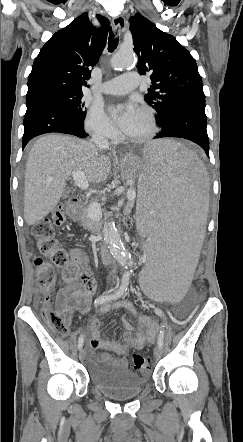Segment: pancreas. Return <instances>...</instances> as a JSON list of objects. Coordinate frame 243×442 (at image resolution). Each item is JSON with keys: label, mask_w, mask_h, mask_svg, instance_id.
<instances>
[{"label": "pancreas", "mask_w": 243, "mask_h": 442, "mask_svg": "<svg viewBox=\"0 0 243 442\" xmlns=\"http://www.w3.org/2000/svg\"><path fill=\"white\" fill-rule=\"evenodd\" d=\"M89 207H84L82 209V216H81V222L82 225L89 231L95 232L100 228V222L97 220H93L89 217L88 214Z\"/></svg>", "instance_id": "obj_1"}]
</instances>
